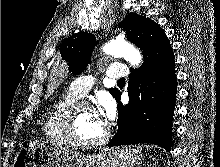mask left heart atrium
I'll list each match as a JSON object with an SVG mask.
<instances>
[{"label":"left heart atrium","instance_id":"39dd6f15","mask_svg":"<svg viewBox=\"0 0 220 167\" xmlns=\"http://www.w3.org/2000/svg\"><path fill=\"white\" fill-rule=\"evenodd\" d=\"M99 122L107 126L115 115V106L110 99H102L99 107L95 110Z\"/></svg>","mask_w":220,"mask_h":167}]
</instances>
